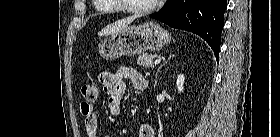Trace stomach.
<instances>
[{"label": "stomach", "instance_id": "stomach-1", "mask_svg": "<svg viewBox=\"0 0 280 137\" xmlns=\"http://www.w3.org/2000/svg\"><path fill=\"white\" fill-rule=\"evenodd\" d=\"M171 41V35L156 22L127 26L105 39L99 53L106 60L122 56L140 55L146 51H159Z\"/></svg>", "mask_w": 280, "mask_h": 137}]
</instances>
